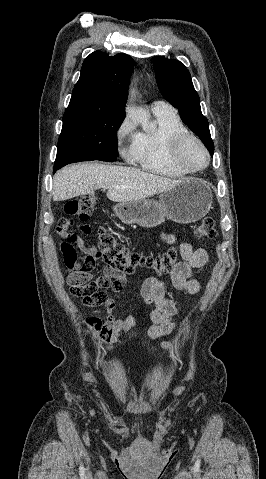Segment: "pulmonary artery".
Returning a JSON list of instances; mask_svg holds the SVG:
<instances>
[{
    "label": "pulmonary artery",
    "mask_w": 266,
    "mask_h": 479,
    "mask_svg": "<svg viewBox=\"0 0 266 479\" xmlns=\"http://www.w3.org/2000/svg\"><path fill=\"white\" fill-rule=\"evenodd\" d=\"M153 111H174V109L165 101H155L152 104Z\"/></svg>",
    "instance_id": "obj_1"
}]
</instances>
